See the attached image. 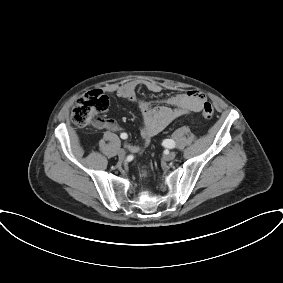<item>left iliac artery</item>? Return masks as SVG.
Segmentation results:
<instances>
[{
  "instance_id": "left-iliac-artery-1",
  "label": "left iliac artery",
  "mask_w": 283,
  "mask_h": 283,
  "mask_svg": "<svg viewBox=\"0 0 283 283\" xmlns=\"http://www.w3.org/2000/svg\"><path fill=\"white\" fill-rule=\"evenodd\" d=\"M163 145L168 148H174L175 142L172 139H166L163 141Z\"/></svg>"
}]
</instances>
